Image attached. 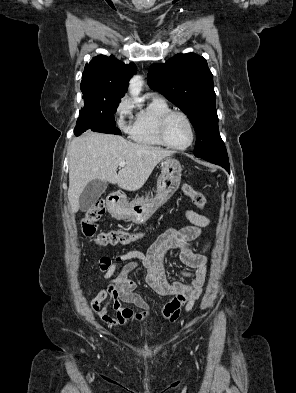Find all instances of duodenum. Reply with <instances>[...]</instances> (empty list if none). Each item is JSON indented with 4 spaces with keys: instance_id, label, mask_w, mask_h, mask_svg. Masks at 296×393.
Segmentation results:
<instances>
[{
    "instance_id": "obj_1",
    "label": "duodenum",
    "mask_w": 296,
    "mask_h": 393,
    "mask_svg": "<svg viewBox=\"0 0 296 393\" xmlns=\"http://www.w3.org/2000/svg\"><path fill=\"white\" fill-rule=\"evenodd\" d=\"M121 201V198L119 195L115 194V195H111L108 198V203L110 205V207L113 209L115 207H117L119 205V202Z\"/></svg>"
}]
</instances>
